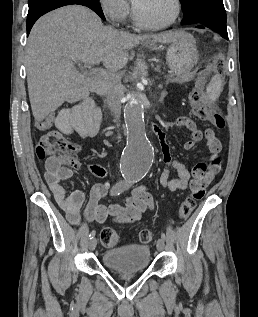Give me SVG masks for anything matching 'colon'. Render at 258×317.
Returning a JSON list of instances; mask_svg holds the SVG:
<instances>
[{
  "instance_id": "colon-1",
  "label": "colon",
  "mask_w": 258,
  "mask_h": 317,
  "mask_svg": "<svg viewBox=\"0 0 258 317\" xmlns=\"http://www.w3.org/2000/svg\"><path fill=\"white\" fill-rule=\"evenodd\" d=\"M204 85L194 88L189 94V103L192 113L200 120L210 121L217 128L225 127V119L221 112L211 110L206 102ZM80 147L66 140L57 131H48L39 137L36 153L41 159L47 157H59L67 165L77 167L80 165L78 154ZM204 195V189H196L192 195L184 199L178 209L180 219L186 220L196 207V201ZM139 241L148 243L152 240L153 234L150 230L144 229L139 233ZM100 241L107 248L115 247L119 242L117 232L112 228H104L100 233Z\"/></svg>"
}]
</instances>
